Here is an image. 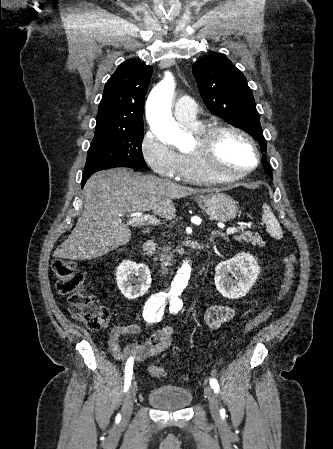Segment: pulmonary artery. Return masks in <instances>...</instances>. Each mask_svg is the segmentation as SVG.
Listing matches in <instances>:
<instances>
[{
  "label": "pulmonary artery",
  "instance_id": "1",
  "mask_svg": "<svg viewBox=\"0 0 333 449\" xmlns=\"http://www.w3.org/2000/svg\"><path fill=\"white\" fill-rule=\"evenodd\" d=\"M174 116L180 124L186 127L196 126L198 122L195 101L188 96L181 97L175 105Z\"/></svg>",
  "mask_w": 333,
  "mask_h": 449
}]
</instances>
